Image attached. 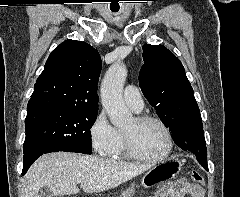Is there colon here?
<instances>
[{
    "mask_svg": "<svg viewBox=\"0 0 240 197\" xmlns=\"http://www.w3.org/2000/svg\"><path fill=\"white\" fill-rule=\"evenodd\" d=\"M191 179L198 184H201L204 182V177L201 173L197 172V171H192L191 174ZM166 196V191L162 190L159 194V197H165Z\"/></svg>",
    "mask_w": 240,
    "mask_h": 197,
    "instance_id": "obj_1",
    "label": "colon"
}]
</instances>
